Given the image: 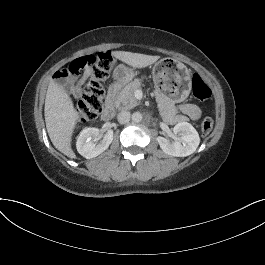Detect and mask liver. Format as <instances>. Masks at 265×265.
I'll list each match as a JSON object with an SVG mask.
<instances>
[{
    "mask_svg": "<svg viewBox=\"0 0 265 265\" xmlns=\"http://www.w3.org/2000/svg\"><path fill=\"white\" fill-rule=\"evenodd\" d=\"M112 57L133 69H144L156 63L160 56L112 51ZM44 118L47 133L54 147L70 159H76L72 140L80 122L79 112L67 89L52 79L48 85Z\"/></svg>",
    "mask_w": 265,
    "mask_h": 265,
    "instance_id": "liver-1",
    "label": "liver"
}]
</instances>
